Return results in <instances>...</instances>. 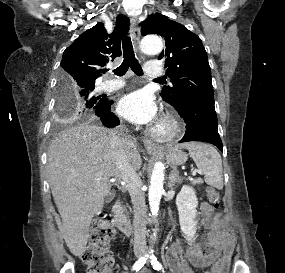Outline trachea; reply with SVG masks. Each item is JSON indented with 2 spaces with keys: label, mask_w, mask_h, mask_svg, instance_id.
<instances>
[{
  "label": "trachea",
  "mask_w": 285,
  "mask_h": 273,
  "mask_svg": "<svg viewBox=\"0 0 285 273\" xmlns=\"http://www.w3.org/2000/svg\"><path fill=\"white\" fill-rule=\"evenodd\" d=\"M123 46V62L119 67L113 70V72L117 76H123L125 73L128 71L129 67L132 69V71L138 75L142 76L143 75V70L141 68V65L139 64L138 60L135 57L134 51H133V46L131 39L129 37H125L122 42ZM108 69L104 70L103 72L106 73ZM157 81H163L164 79L162 78H157L155 79Z\"/></svg>",
  "instance_id": "3493384b"
}]
</instances>
